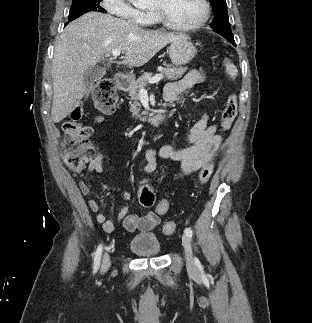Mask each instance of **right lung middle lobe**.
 <instances>
[{"instance_id":"right-lung-middle-lobe-1","label":"right lung middle lobe","mask_w":312,"mask_h":323,"mask_svg":"<svg viewBox=\"0 0 312 323\" xmlns=\"http://www.w3.org/2000/svg\"><path fill=\"white\" fill-rule=\"evenodd\" d=\"M100 2L101 0H73L67 24L89 11L106 13V10L101 7Z\"/></svg>"}]
</instances>
